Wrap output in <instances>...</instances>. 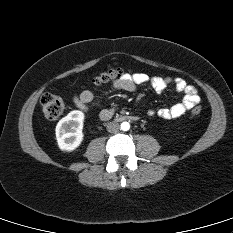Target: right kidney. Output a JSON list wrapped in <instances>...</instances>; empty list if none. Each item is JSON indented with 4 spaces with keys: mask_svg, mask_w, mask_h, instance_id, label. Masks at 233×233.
<instances>
[{
    "mask_svg": "<svg viewBox=\"0 0 233 233\" xmlns=\"http://www.w3.org/2000/svg\"><path fill=\"white\" fill-rule=\"evenodd\" d=\"M84 113L74 110L62 118L56 126V139L62 151L71 152L83 141Z\"/></svg>",
    "mask_w": 233,
    "mask_h": 233,
    "instance_id": "1",
    "label": "right kidney"
}]
</instances>
